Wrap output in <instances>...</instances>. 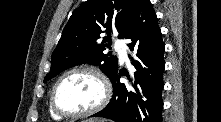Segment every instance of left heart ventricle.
I'll return each mask as SVG.
<instances>
[{
	"mask_svg": "<svg viewBox=\"0 0 221 122\" xmlns=\"http://www.w3.org/2000/svg\"><path fill=\"white\" fill-rule=\"evenodd\" d=\"M101 96L102 87L98 79L90 74L78 73L60 83L56 102L64 111L81 112L95 106Z\"/></svg>",
	"mask_w": 221,
	"mask_h": 122,
	"instance_id": "obj_1",
	"label": "left heart ventricle"
}]
</instances>
